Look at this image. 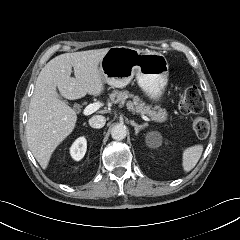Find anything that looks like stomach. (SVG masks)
Here are the masks:
<instances>
[{"label": "stomach", "mask_w": 240, "mask_h": 240, "mask_svg": "<svg viewBox=\"0 0 240 240\" xmlns=\"http://www.w3.org/2000/svg\"><path fill=\"white\" fill-rule=\"evenodd\" d=\"M104 82L122 88L136 77L142 91L153 101H159L168 82L169 65L159 52L126 46L109 48L100 61Z\"/></svg>", "instance_id": "1"}]
</instances>
